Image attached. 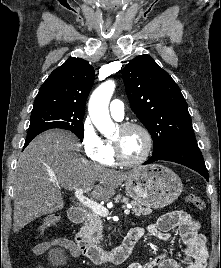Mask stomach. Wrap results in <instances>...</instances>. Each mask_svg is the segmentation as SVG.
Returning <instances> with one entry per match:
<instances>
[{
	"instance_id": "stomach-1",
	"label": "stomach",
	"mask_w": 221,
	"mask_h": 268,
	"mask_svg": "<svg viewBox=\"0 0 221 268\" xmlns=\"http://www.w3.org/2000/svg\"><path fill=\"white\" fill-rule=\"evenodd\" d=\"M125 189L137 203L157 209L173 203L183 187L181 179L171 169L152 164L135 169L125 181Z\"/></svg>"
}]
</instances>
